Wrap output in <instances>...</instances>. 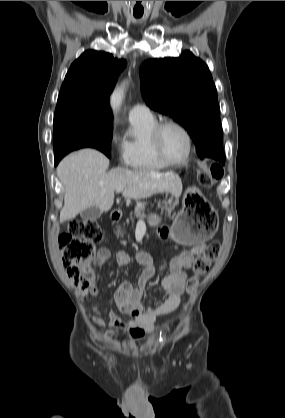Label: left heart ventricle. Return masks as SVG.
I'll return each instance as SVG.
<instances>
[{
  "label": "left heart ventricle",
  "instance_id": "obj_1",
  "mask_svg": "<svg viewBox=\"0 0 285 418\" xmlns=\"http://www.w3.org/2000/svg\"><path fill=\"white\" fill-rule=\"evenodd\" d=\"M161 145L165 155L172 161H180L186 155V137L181 130L174 126L166 127L162 131Z\"/></svg>",
  "mask_w": 285,
  "mask_h": 418
}]
</instances>
